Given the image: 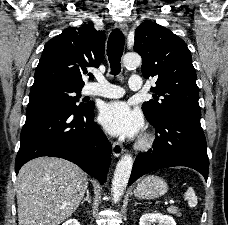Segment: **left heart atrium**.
Masks as SVG:
<instances>
[{
	"label": "left heart atrium",
	"instance_id": "left-heart-atrium-1",
	"mask_svg": "<svg viewBox=\"0 0 228 225\" xmlns=\"http://www.w3.org/2000/svg\"><path fill=\"white\" fill-rule=\"evenodd\" d=\"M99 119L104 129L112 136L135 138L143 127L141 115L122 101L104 105Z\"/></svg>",
	"mask_w": 228,
	"mask_h": 225
}]
</instances>
